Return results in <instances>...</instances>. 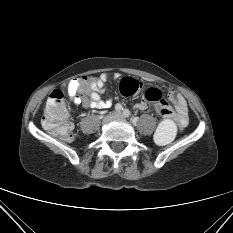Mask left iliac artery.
<instances>
[{
    "label": "left iliac artery",
    "instance_id": "1",
    "mask_svg": "<svg viewBox=\"0 0 233 233\" xmlns=\"http://www.w3.org/2000/svg\"><path fill=\"white\" fill-rule=\"evenodd\" d=\"M123 115H124V117H129L130 116V111L128 109H125L123 111Z\"/></svg>",
    "mask_w": 233,
    "mask_h": 233
}]
</instances>
